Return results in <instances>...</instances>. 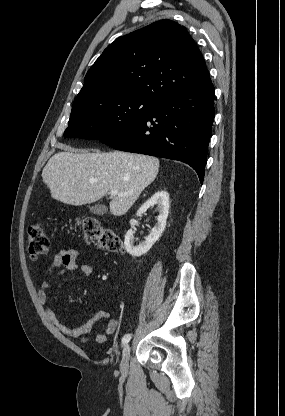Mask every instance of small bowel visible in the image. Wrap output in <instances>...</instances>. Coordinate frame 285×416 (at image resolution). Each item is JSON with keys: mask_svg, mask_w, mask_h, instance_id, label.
Returning <instances> with one entry per match:
<instances>
[{"mask_svg": "<svg viewBox=\"0 0 285 416\" xmlns=\"http://www.w3.org/2000/svg\"><path fill=\"white\" fill-rule=\"evenodd\" d=\"M79 255L80 253L75 249H65L54 257L52 263L46 269L39 286L37 293L38 300L45 311L46 317L61 333L67 337L79 339L83 343L88 342L92 338V330L97 321L108 320L103 331L94 337L98 344H103L117 328V320L109 312L99 310L89 321L72 327L62 323L48 303V290L53 281L60 279L67 272H79L85 276L92 274L93 265L91 263L80 262L78 260Z\"/></svg>", "mask_w": 285, "mask_h": 416, "instance_id": "1", "label": "small bowel"}]
</instances>
